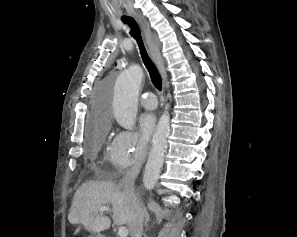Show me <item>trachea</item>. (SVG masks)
Returning <instances> with one entry per match:
<instances>
[{"label":"trachea","instance_id":"obj_1","mask_svg":"<svg viewBox=\"0 0 297 237\" xmlns=\"http://www.w3.org/2000/svg\"><path fill=\"white\" fill-rule=\"evenodd\" d=\"M125 23L129 24L131 27V35L136 39L139 49H140V54L143 60L144 65L146 66L149 74L151 81L153 85L161 91L162 89V79L161 76L155 66V64L152 62L151 58L149 57L146 47L144 45L143 39L141 37V31L140 28L137 24V22L133 18H126L124 20Z\"/></svg>","mask_w":297,"mask_h":237}]
</instances>
